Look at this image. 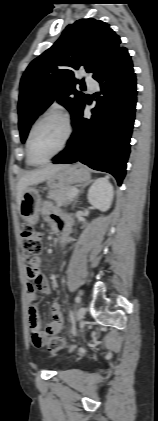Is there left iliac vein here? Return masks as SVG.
<instances>
[{
  "label": "left iliac vein",
  "instance_id": "left-iliac-vein-1",
  "mask_svg": "<svg viewBox=\"0 0 158 421\" xmlns=\"http://www.w3.org/2000/svg\"><path fill=\"white\" fill-rule=\"evenodd\" d=\"M85 313H86L85 307H83V306L80 307L79 310H78V312H77V319L78 320H82L84 318V316H85Z\"/></svg>",
  "mask_w": 158,
  "mask_h": 421
}]
</instances>
